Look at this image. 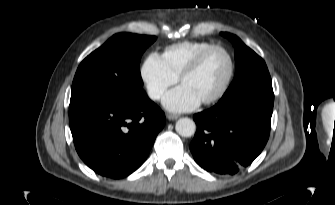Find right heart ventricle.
I'll return each instance as SVG.
<instances>
[{
  "mask_svg": "<svg viewBox=\"0 0 335 205\" xmlns=\"http://www.w3.org/2000/svg\"><path fill=\"white\" fill-rule=\"evenodd\" d=\"M211 45L206 41H182L167 46L161 57L167 67L179 77L195 56Z\"/></svg>",
  "mask_w": 335,
  "mask_h": 205,
  "instance_id": "obj_1",
  "label": "right heart ventricle"
}]
</instances>
